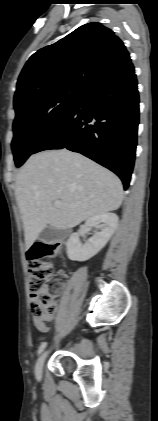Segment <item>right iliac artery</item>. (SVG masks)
<instances>
[{
  "instance_id": "1",
  "label": "right iliac artery",
  "mask_w": 158,
  "mask_h": 421,
  "mask_svg": "<svg viewBox=\"0 0 158 421\" xmlns=\"http://www.w3.org/2000/svg\"><path fill=\"white\" fill-rule=\"evenodd\" d=\"M46 345H47V343H46V342H43V343L40 345V347H39V349H38V354H40V353H41V352L45 349Z\"/></svg>"
}]
</instances>
